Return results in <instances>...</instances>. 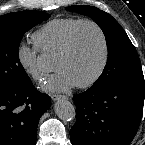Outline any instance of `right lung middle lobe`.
Segmentation results:
<instances>
[{
	"label": "right lung middle lobe",
	"mask_w": 145,
	"mask_h": 145,
	"mask_svg": "<svg viewBox=\"0 0 145 145\" xmlns=\"http://www.w3.org/2000/svg\"><path fill=\"white\" fill-rule=\"evenodd\" d=\"M49 17L33 10L0 16V89L18 88L30 79L19 60V44L25 32Z\"/></svg>",
	"instance_id": "dd1d6c3e"
}]
</instances>
